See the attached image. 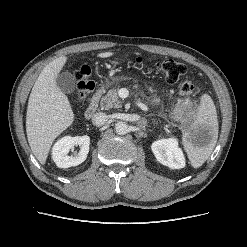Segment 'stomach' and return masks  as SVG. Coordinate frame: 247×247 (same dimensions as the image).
Segmentation results:
<instances>
[{
    "label": "stomach",
    "mask_w": 247,
    "mask_h": 247,
    "mask_svg": "<svg viewBox=\"0 0 247 247\" xmlns=\"http://www.w3.org/2000/svg\"><path fill=\"white\" fill-rule=\"evenodd\" d=\"M109 83L110 82L107 81V84H109ZM175 118L181 122L184 132L192 133L194 130L199 128V127L194 128V126H193L194 120H195V114H193L191 116H187V117H180L178 115H175Z\"/></svg>",
    "instance_id": "1"
}]
</instances>
